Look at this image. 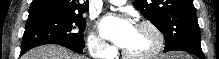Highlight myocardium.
I'll list each match as a JSON object with an SVG mask.
<instances>
[{
  "label": "myocardium",
  "mask_w": 219,
  "mask_h": 59,
  "mask_svg": "<svg viewBox=\"0 0 219 59\" xmlns=\"http://www.w3.org/2000/svg\"><path fill=\"white\" fill-rule=\"evenodd\" d=\"M136 27L149 29L155 37V44L151 50L142 54H131L123 48L121 50L122 56L126 59H151L158 55L163 50L165 45V36L160 28L155 23L149 20L139 21L136 24Z\"/></svg>",
  "instance_id": "1"
}]
</instances>
